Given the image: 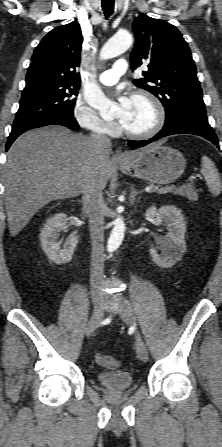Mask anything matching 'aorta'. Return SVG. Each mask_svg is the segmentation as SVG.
Here are the masks:
<instances>
[{
	"label": "aorta",
	"mask_w": 222,
	"mask_h": 447,
	"mask_svg": "<svg viewBox=\"0 0 222 447\" xmlns=\"http://www.w3.org/2000/svg\"><path fill=\"white\" fill-rule=\"evenodd\" d=\"M132 43L133 38L128 31H119L105 43L101 50L100 58L110 59L116 57L127 51ZM84 99L89 106L97 110L100 114L110 111L113 107V103L94 84L86 87ZM113 225L114 227L107 244L108 252H113L118 249L124 238L125 224L123 219L120 217L116 218Z\"/></svg>",
	"instance_id": "762f6f07"
}]
</instances>
